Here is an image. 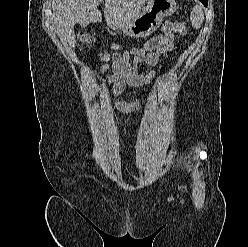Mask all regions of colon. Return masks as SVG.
Segmentation results:
<instances>
[{"label": "colon", "instance_id": "colon-1", "mask_svg": "<svg viewBox=\"0 0 248 247\" xmlns=\"http://www.w3.org/2000/svg\"><path fill=\"white\" fill-rule=\"evenodd\" d=\"M171 32H178L179 34H186L187 27H186L185 23H183V22L166 21L162 25L159 35H167V34H170ZM80 40H81L83 45L88 46L93 42L94 35L92 32L85 31V32L81 33ZM112 48L115 50L122 49V47L120 45H113Z\"/></svg>", "mask_w": 248, "mask_h": 247}]
</instances>
